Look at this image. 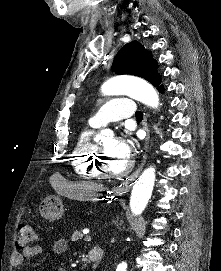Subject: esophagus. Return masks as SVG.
<instances>
[{"mask_svg":"<svg viewBox=\"0 0 221 271\" xmlns=\"http://www.w3.org/2000/svg\"><path fill=\"white\" fill-rule=\"evenodd\" d=\"M146 121H147L146 118H144L143 128L146 131V138H145V143H144V147H143V159H142V162H141L139 168L136 171H134V173H132L127 178V180H125V181H123L121 183V186H119L118 188H115L114 191H116V192L128 191L131 188L132 183L135 181V179L138 177L139 173L143 169V165H144V163L146 161V151H147V147H148V141H149V138H150L149 128L147 126Z\"/></svg>","mask_w":221,"mask_h":271,"instance_id":"1","label":"esophagus"}]
</instances>
